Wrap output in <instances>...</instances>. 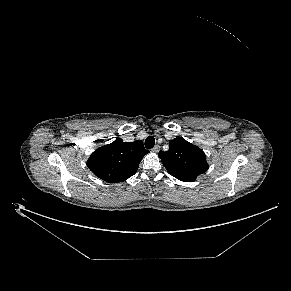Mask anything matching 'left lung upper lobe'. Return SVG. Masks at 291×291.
Segmentation results:
<instances>
[{
  "label": "left lung upper lobe",
  "instance_id": "left-lung-upper-lobe-1",
  "mask_svg": "<svg viewBox=\"0 0 291 291\" xmlns=\"http://www.w3.org/2000/svg\"><path fill=\"white\" fill-rule=\"evenodd\" d=\"M159 158L170 175L184 182H193L209 167L205 153L182 137L171 140L169 150L160 151Z\"/></svg>",
  "mask_w": 291,
  "mask_h": 291
}]
</instances>
